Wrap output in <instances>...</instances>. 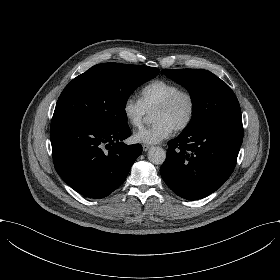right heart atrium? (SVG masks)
Here are the masks:
<instances>
[{"mask_svg": "<svg viewBox=\"0 0 280 280\" xmlns=\"http://www.w3.org/2000/svg\"><path fill=\"white\" fill-rule=\"evenodd\" d=\"M122 113L130 125L139 127L147 114V110L140 100L127 97L122 103Z\"/></svg>", "mask_w": 280, "mask_h": 280, "instance_id": "d8ad5b80", "label": "right heart atrium"}]
</instances>
